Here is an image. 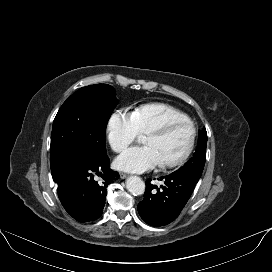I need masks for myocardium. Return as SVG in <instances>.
Here are the masks:
<instances>
[{
    "instance_id": "1",
    "label": "myocardium",
    "mask_w": 272,
    "mask_h": 272,
    "mask_svg": "<svg viewBox=\"0 0 272 272\" xmlns=\"http://www.w3.org/2000/svg\"><path fill=\"white\" fill-rule=\"evenodd\" d=\"M180 126H188L190 128L191 136H190L189 144L186 150L184 151V153L179 158L170 162L161 163V166L164 168H175V167L181 166L190 157L195 147V142L197 137V129L195 124L190 119L170 120L163 123L162 125L158 127L151 129L145 135V136H164L168 134L170 131H172L174 128H177Z\"/></svg>"
}]
</instances>
